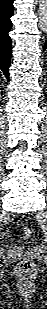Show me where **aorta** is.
Here are the masks:
<instances>
[{"mask_svg":"<svg viewBox=\"0 0 47 309\" xmlns=\"http://www.w3.org/2000/svg\"><path fill=\"white\" fill-rule=\"evenodd\" d=\"M39 26L42 30L47 27V3L44 0L39 10Z\"/></svg>","mask_w":47,"mask_h":309,"instance_id":"1","label":"aorta"}]
</instances>
